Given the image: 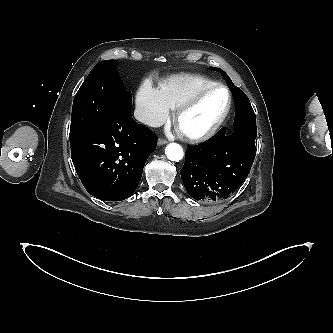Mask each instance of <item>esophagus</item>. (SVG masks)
<instances>
[{
  "instance_id": "34e87169",
  "label": "esophagus",
  "mask_w": 333,
  "mask_h": 333,
  "mask_svg": "<svg viewBox=\"0 0 333 333\" xmlns=\"http://www.w3.org/2000/svg\"><path fill=\"white\" fill-rule=\"evenodd\" d=\"M166 143H167V140H165V139H163V138H159V139L157 140V144H158L159 146L164 145V144H166Z\"/></svg>"
}]
</instances>
